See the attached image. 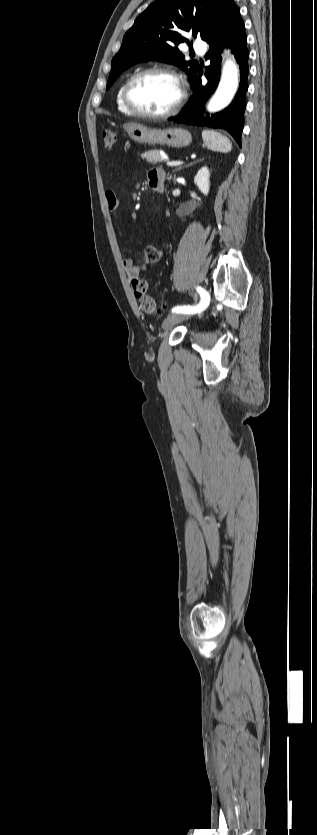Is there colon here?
I'll return each mask as SVG.
<instances>
[{"mask_svg":"<svg viewBox=\"0 0 317 835\" xmlns=\"http://www.w3.org/2000/svg\"><path fill=\"white\" fill-rule=\"evenodd\" d=\"M103 143L107 149H111L117 142V134L112 130H104L101 133ZM162 255L161 250L155 246H149L148 258L155 261ZM131 286L135 297L138 299L140 309L148 314H160V309L157 308L155 300L147 294V281L140 277L134 276L131 279Z\"/></svg>","mask_w":317,"mask_h":835,"instance_id":"5ec220e1","label":"colon"}]
</instances>
